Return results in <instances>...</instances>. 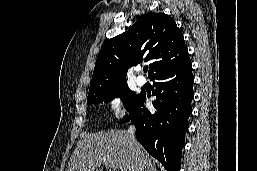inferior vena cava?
<instances>
[{"mask_svg": "<svg viewBox=\"0 0 257 171\" xmlns=\"http://www.w3.org/2000/svg\"><path fill=\"white\" fill-rule=\"evenodd\" d=\"M135 130L136 129L133 125H131L128 129V134L131 138L133 145H136ZM132 156H133V161H132L131 171H143L141 165L139 164V160H138V156H137L135 147L132 150Z\"/></svg>", "mask_w": 257, "mask_h": 171, "instance_id": "obj_1", "label": "inferior vena cava"}]
</instances>
